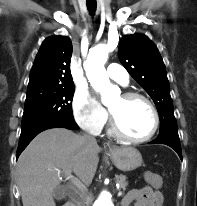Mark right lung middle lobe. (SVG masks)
Segmentation results:
<instances>
[{"label":"right lung middle lobe","instance_id":"1","mask_svg":"<svg viewBox=\"0 0 197 206\" xmlns=\"http://www.w3.org/2000/svg\"><path fill=\"white\" fill-rule=\"evenodd\" d=\"M73 95L74 85L27 89L22 129L47 120H74Z\"/></svg>","mask_w":197,"mask_h":206}]
</instances>
